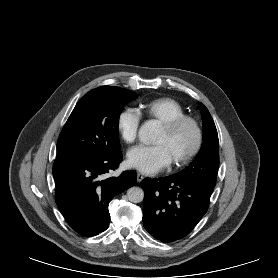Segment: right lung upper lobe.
I'll return each mask as SVG.
<instances>
[{"mask_svg": "<svg viewBox=\"0 0 278 278\" xmlns=\"http://www.w3.org/2000/svg\"><path fill=\"white\" fill-rule=\"evenodd\" d=\"M107 87H111V86H107ZM112 88H116V87H112Z\"/></svg>", "mask_w": 278, "mask_h": 278, "instance_id": "right-lung-upper-lobe-1", "label": "right lung upper lobe"}]
</instances>
